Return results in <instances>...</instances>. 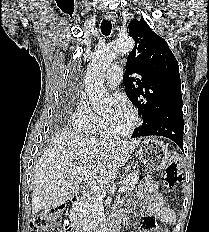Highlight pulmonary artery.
Wrapping results in <instances>:
<instances>
[{"instance_id": "1", "label": "pulmonary artery", "mask_w": 209, "mask_h": 232, "mask_svg": "<svg viewBox=\"0 0 209 232\" xmlns=\"http://www.w3.org/2000/svg\"><path fill=\"white\" fill-rule=\"evenodd\" d=\"M123 75V68L119 64H113L109 67L106 76L105 84L109 88H115L119 85Z\"/></svg>"}]
</instances>
